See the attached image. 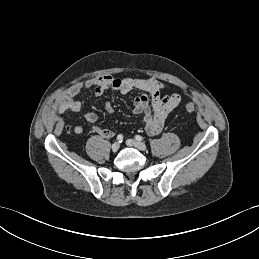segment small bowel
<instances>
[{
  "mask_svg": "<svg viewBox=\"0 0 259 259\" xmlns=\"http://www.w3.org/2000/svg\"><path fill=\"white\" fill-rule=\"evenodd\" d=\"M91 89L98 96L107 90H114L122 94H127L135 89L141 91L142 94L134 99L133 112L137 115H143L145 130L151 136H155L162 131L167 117L181 102V96L178 93L162 96L161 92L165 89V86L155 79L115 78L107 74L72 84L63 92L61 99L55 106V111L57 113L79 112L82 104L78 96ZM105 109L109 113L114 111L110 102L105 104ZM84 119L87 123L93 125L92 131L99 136L110 138L114 135L113 130L94 125L98 120V115L95 112L85 113ZM54 122L53 116L47 118L48 125H52ZM74 132L81 134L83 127L75 126Z\"/></svg>",
  "mask_w": 259,
  "mask_h": 259,
  "instance_id": "c3829d8e",
  "label": "small bowel"
}]
</instances>
